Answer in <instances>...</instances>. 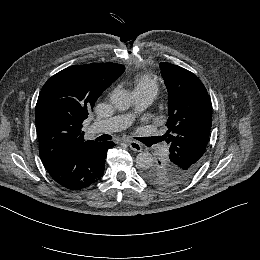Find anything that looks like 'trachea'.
<instances>
[{"label": "trachea", "instance_id": "1", "mask_svg": "<svg viewBox=\"0 0 260 260\" xmlns=\"http://www.w3.org/2000/svg\"><path fill=\"white\" fill-rule=\"evenodd\" d=\"M135 139H137V140H139V141L143 142L144 144H146V142L148 141V138H146V137H142V138H135Z\"/></svg>", "mask_w": 260, "mask_h": 260}]
</instances>
